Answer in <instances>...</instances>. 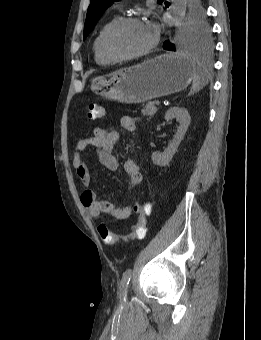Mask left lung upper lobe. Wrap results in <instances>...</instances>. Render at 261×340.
Masks as SVG:
<instances>
[{
	"label": "left lung upper lobe",
	"mask_w": 261,
	"mask_h": 340,
	"mask_svg": "<svg viewBox=\"0 0 261 340\" xmlns=\"http://www.w3.org/2000/svg\"><path fill=\"white\" fill-rule=\"evenodd\" d=\"M119 0H91L88 7L83 39L85 40L105 10ZM186 46L209 50L212 47L210 26L200 0H186V23L183 32Z\"/></svg>",
	"instance_id": "1"
}]
</instances>
